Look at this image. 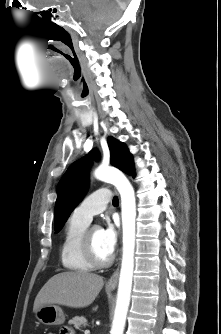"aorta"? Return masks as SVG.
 I'll return each instance as SVG.
<instances>
[{
	"instance_id": "1",
	"label": "aorta",
	"mask_w": 221,
	"mask_h": 334,
	"mask_svg": "<svg viewBox=\"0 0 221 334\" xmlns=\"http://www.w3.org/2000/svg\"><path fill=\"white\" fill-rule=\"evenodd\" d=\"M94 176L98 180L113 184L121 196L123 254L116 307L110 334H123L130 304L134 270L136 219L135 193L125 175L115 168L98 167L94 172Z\"/></svg>"
}]
</instances>
